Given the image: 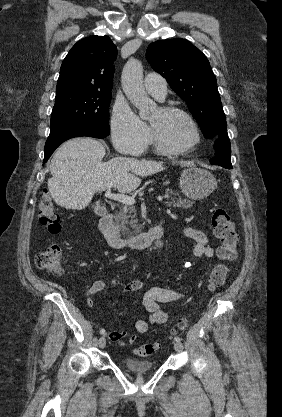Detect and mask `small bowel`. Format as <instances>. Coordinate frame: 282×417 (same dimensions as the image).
Masks as SVG:
<instances>
[{
  "mask_svg": "<svg viewBox=\"0 0 282 417\" xmlns=\"http://www.w3.org/2000/svg\"><path fill=\"white\" fill-rule=\"evenodd\" d=\"M159 226L162 227L163 222H161ZM182 234L186 238L195 242L193 255L196 258H211L214 255V251L209 245V238L204 231L186 226L182 228ZM159 245L160 246H156L161 247V241ZM221 254L222 253L220 252V256ZM187 266H189V264ZM109 286H119L123 294L144 291L142 302L149 313L147 320L140 319L136 321L135 328L137 333L128 335V332L125 329L108 332V337L120 346L135 343L138 339V335L146 333L151 325H162L167 322L168 314L160 308V304L179 302L187 297V293L182 290L162 286H148L140 280L120 283L115 279H101L95 281L85 291L87 306L89 308L93 307L95 303V296L103 292Z\"/></svg>",
  "mask_w": 282,
  "mask_h": 417,
  "instance_id": "1",
  "label": "small bowel"
}]
</instances>
